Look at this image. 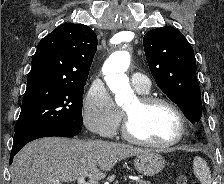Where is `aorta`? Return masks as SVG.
I'll return each mask as SVG.
<instances>
[{
	"instance_id": "obj_1",
	"label": "aorta",
	"mask_w": 224,
	"mask_h": 184,
	"mask_svg": "<svg viewBox=\"0 0 224 184\" xmlns=\"http://www.w3.org/2000/svg\"><path fill=\"white\" fill-rule=\"evenodd\" d=\"M130 65V54L127 51H117L105 61L102 71L110 90L115 93V101L118 105L129 102L133 96V90L129 85V79L125 72Z\"/></svg>"
}]
</instances>
